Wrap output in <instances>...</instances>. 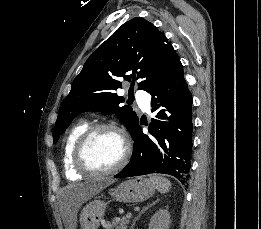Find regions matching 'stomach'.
I'll return each mask as SVG.
<instances>
[{"label": "stomach", "instance_id": "1", "mask_svg": "<svg viewBox=\"0 0 261 229\" xmlns=\"http://www.w3.org/2000/svg\"><path fill=\"white\" fill-rule=\"evenodd\" d=\"M157 187L151 179L136 177L118 185L116 189H110L109 195H112L116 201L122 203H142L153 197ZM106 203L103 201H91L84 207L80 215L81 229H99L100 221L105 215Z\"/></svg>", "mask_w": 261, "mask_h": 229}]
</instances>
